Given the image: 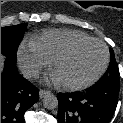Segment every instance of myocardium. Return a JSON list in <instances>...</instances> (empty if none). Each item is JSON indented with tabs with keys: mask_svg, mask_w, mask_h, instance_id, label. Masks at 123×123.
<instances>
[{
	"mask_svg": "<svg viewBox=\"0 0 123 123\" xmlns=\"http://www.w3.org/2000/svg\"><path fill=\"white\" fill-rule=\"evenodd\" d=\"M88 43H98L100 44L103 48H104V60L103 63L101 65V67L99 68V70L96 72V74L91 77L90 79H88L87 81L81 82V83H64V82H58L59 85L66 90H71V91H77V90H82L85 88H88L90 86H92L93 84H95L100 78L101 76L104 74V72L107 69L108 63H109V49L107 47V45L96 38H89V39H84V40H80L77 41L71 45H69L68 47H66L64 50H62L60 53H58L52 60V71H55L56 66L63 61L64 59H66L67 57H69L72 53H74L78 48H80L81 46L88 44Z\"/></svg>",
	"mask_w": 123,
	"mask_h": 123,
	"instance_id": "obj_1",
	"label": "myocardium"
}]
</instances>
